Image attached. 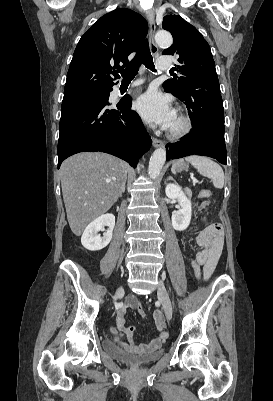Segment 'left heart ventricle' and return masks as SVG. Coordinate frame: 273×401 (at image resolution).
Here are the masks:
<instances>
[{
  "label": "left heart ventricle",
  "mask_w": 273,
  "mask_h": 401,
  "mask_svg": "<svg viewBox=\"0 0 273 401\" xmlns=\"http://www.w3.org/2000/svg\"><path fill=\"white\" fill-rule=\"evenodd\" d=\"M179 126H180V121H179L178 116L176 115V117H175L174 121L172 122V124H171L169 129H176Z\"/></svg>",
  "instance_id": "1"
}]
</instances>
